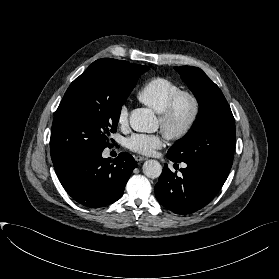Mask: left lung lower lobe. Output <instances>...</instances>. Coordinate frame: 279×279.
<instances>
[{
    "instance_id": "obj_1",
    "label": "left lung lower lobe",
    "mask_w": 279,
    "mask_h": 279,
    "mask_svg": "<svg viewBox=\"0 0 279 279\" xmlns=\"http://www.w3.org/2000/svg\"><path fill=\"white\" fill-rule=\"evenodd\" d=\"M180 171L182 177L164 167L155 185L158 202L179 215L194 213L203 208L215 197L227 179L206 166L187 165Z\"/></svg>"
}]
</instances>
